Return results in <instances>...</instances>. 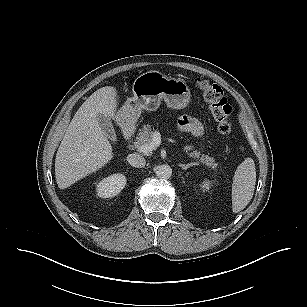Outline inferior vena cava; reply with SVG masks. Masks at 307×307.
<instances>
[{"label":"inferior vena cava","mask_w":307,"mask_h":307,"mask_svg":"<svg viewBox=\"0 0 307 307\" xmlns=\"http://www.w3.org/2000/svg\"><path fill=\"white\" fill-rule=\"evenodd\" d=\"M128 163L136 168H143L146 165V160L139 154H129L127 156Z\"/></svg>","instance_id":"602c4592"}]
</instances>
